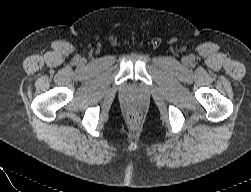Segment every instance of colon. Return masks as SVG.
<instances>
[{
	"label": "colon",
	"mask_w": 251,
	"mask_h": 192,
	"mask_svg": "<svg viewBox=\"0 0 251 192\" xmlns=\"http://www.w3.org/2000/svg\"><path fill=\"white\" fill-rule=\"evenodd\" d=\"M139 119H140V115L136 111H133V112L129 113V115H128V120L133 124L137 123L139 121Z\"/></svg>",
	"instance_id": "5ec220e1"
}]
</instances>
